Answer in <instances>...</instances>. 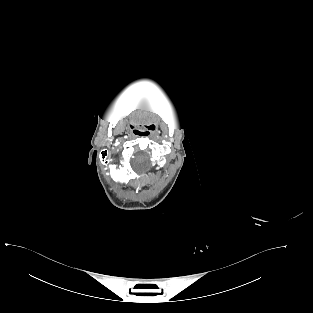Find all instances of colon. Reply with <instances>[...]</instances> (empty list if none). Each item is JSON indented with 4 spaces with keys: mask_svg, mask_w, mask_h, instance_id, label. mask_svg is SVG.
<instances>
[{
    "mask_svg": "<svg viewBox=\"0 0 313 313\" xmlns=\"http://www.w3.org/2000/svg\"><path fill=\"white\" fill-rule=\"evenodd\" d=\"M230 238H236V230L235 227L232 228Z\"/></svg>",
    "mask_w": 313,
    "mask_h": 313,
    "instance_id": "5ec220e1",
    "label": "colon"
}]
</instances>
